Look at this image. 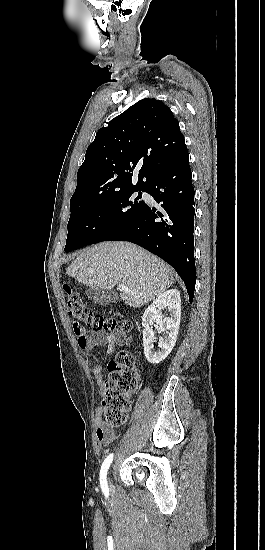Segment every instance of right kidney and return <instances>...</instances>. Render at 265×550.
I'll return each mask as SVG.
<instances>
[{
	"instance_id": "ca27d5eb",
	"label": "right kidney",
	"mask_w": 265,
	"mask_h": 550,
	"mask_svg": "<svg viewBox=\"0 0 265 550\" xmlns=\"http://www.w3.org/2000/svg\"><path fill=\"white\" fill-rule=\"evenodd\" d=\"M167 307L170 317L163 319L162 310ZM181 318V298L177 289H171L160 294L145 310L142 317L144 355L151 364H159L175 346ZM153 321L159 325V332L169 331L164 337H159L158 349L153 347Z\"/></svg>"
}]
</instances>
